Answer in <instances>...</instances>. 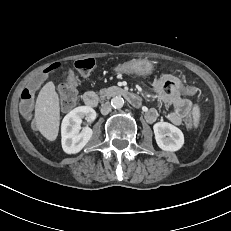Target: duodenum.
I'll return each instance as SVG.
<instances>
[{"instance_id":"410a0bca","label":"duodenum","mask_w":231,"mask_h":231,"mask_svg":"<svg viewBox=\"0 0 231 231\" xmlns=\"http://www.w3.org/2000/svg\"><path fill=\"white\" fill-rule=\"evenodd\" d=\"M115 96L126 98L136 108L141 106V100L135 93L118 86L105 88L101 95H98L92 91H88L84 94L83 100L87 106L94 108L99 104L101 98H111Z\"/></svg>"}]
</instances>
